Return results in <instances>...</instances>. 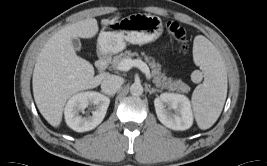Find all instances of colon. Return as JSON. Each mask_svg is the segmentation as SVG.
<instances>
[{"mask_svg":"<svg viewBox=\"0 0 267 166\" xmlns=\"http://www.w3.org/2000/svg\"><path fill=\"white\" fill-rule=\"evenodd\" d=\"M166 30L178 42L180 50L186 53L189 49V44L184 27L175 21H167Z\"/></svg>","mask_w":267,"mask_h":166,"instance_id":"colon-1","label":"colon"}]
</instances>
